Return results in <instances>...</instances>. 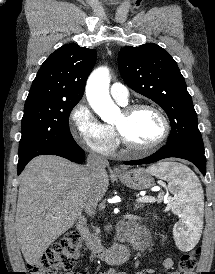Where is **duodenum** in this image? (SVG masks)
<instances>
[{"label": "duodenum", "instance_id": "1", "mask_svg": "<svg viewBox=\"0 0 215 274\" xmlns=\"http://www.w3.org/2000/svg\"><path fill=\"white\" fill-rule=\"evenodd\" d=\"M76 229L81 235L86 248L98 259L111 265H120L129 259L130 249L125 244L118 243L113 247L106 249L97 242L89 233L85 217L78 219Z\"/></svg>", "mask_w": 215, "mask_h": 274}]
</instances>
